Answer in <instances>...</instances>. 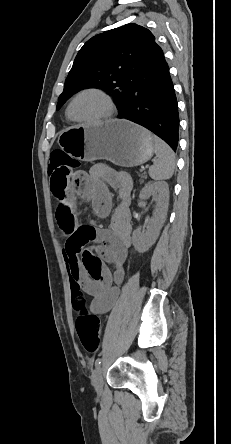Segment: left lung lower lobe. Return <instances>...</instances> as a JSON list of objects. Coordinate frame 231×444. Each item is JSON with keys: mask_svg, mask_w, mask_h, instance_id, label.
<instances>
[{"mask_svg": "<svg viewBox=\"0 0 231 444\" xmlns=\"http://www.w3.org/2000/svg\"><path fill=\"white\" fill-rule=\"evenodd\" d=\"M118 118L144 126L176 151L179 140L178 106L162 50L136 76L126 105L119 111Z\"/></svg>", "mask_w": 231, "mask_h": 444, "instance_id": "obj_1", "label": "left lung lower lobe"}]
</instances>
